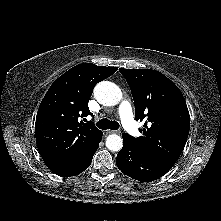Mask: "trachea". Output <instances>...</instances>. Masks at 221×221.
Here are the masks:
<instances>
[{
	"label": "trachea",
	"mask_w": 221,
	"mask_h": 221,
	"mask_svg": "<svg viewBox=\"0 0 221 221\" xmlns=\"http://www.w3.org/2000/svg\"><path fill=\"white\" fill-rule=\"evenodd\" d=\"M97 126L103 130H106V129L117 130L119 128V123L116 121H110L108 119H101L97 123Z\"/></svg>",
	"instance_id": "1"
}]
</instances>
